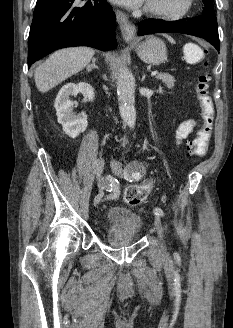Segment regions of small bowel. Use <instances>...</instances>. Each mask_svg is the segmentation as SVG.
<instances>
[{
  "label": "small bowel",
  "instance_id": "c3829d8e",
  "mask_svg": "<svg viewBox=\"0 0 233 328\" xmlns=\"http://www.w3.org/2000/svg\"><path fill=\"white\" fill-rule=\"evenodd\" d=\"M196 121L189 119L183 121L177 128L175 132V140L178 144H181L194 130L196 127Z\"/></svg>",
  "mask_w": 233,
  "mask_h": 328
}]
</instances>
